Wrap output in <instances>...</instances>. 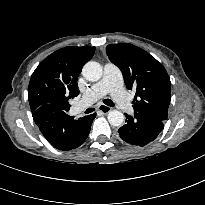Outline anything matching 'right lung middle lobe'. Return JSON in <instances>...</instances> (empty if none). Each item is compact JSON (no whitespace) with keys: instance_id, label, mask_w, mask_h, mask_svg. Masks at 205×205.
<instances>
[{"instance_id":"right-lung-middle-lobe-1","label":"right lung middle lobe","mask_w":205,"mask_h":205,"mask_svg":"<svg viewBox=\"0 0 205 205\" xmlns=\"http://www.w3.org/2000/svg\"><path fill=\"white\" fill-rule=\"evenodd\" d=\"M69 99L67 95H58L54 99V104L56 107L66 110H69L70 104H69Z\"/></svg>"}]
</instances>
